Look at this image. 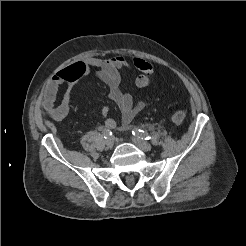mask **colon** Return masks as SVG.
I'll return each mask as SVG.
<instances>
[{
  "instance_id": "5ec220e1",
  "label": "colon",
  "mask_w": 246,
  "mask_h": 246,
  "mask_svg": "<svg viewBox=\"0 0 246 246\" xmlns=\"http://www.w3.org/2000/svg\"><path fill=\"white\" fill-rule=\"evenodd\" d=\"M134 66L141 72L136 78V85L140 88H145L149 86L151 82V77L153 75L152 65L144 59L134 58ZM186 113L183 110H176L172 116L171 121L174 125H180L185 120Z\"/></svg>"
}]
</instances>
